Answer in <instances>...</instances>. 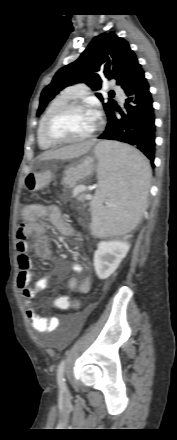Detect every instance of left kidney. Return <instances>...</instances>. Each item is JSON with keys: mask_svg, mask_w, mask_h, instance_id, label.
<instances>
[{"mask_svg": "<svg viewBox=\"0 0 177 440\" xmlns=\"http://www.w3.org/2000/svg\"><path fill=\"white\" fill-rule=\"evenodd\" d=\"M130 245L118 240L101 241L94 253V268L99 279H106L126 257Z\"/></svg>", "mask_w": 177, "mask_h": 440, "instance_id": "left-kidney-1", "label": "left kidney"}]
</instances>
